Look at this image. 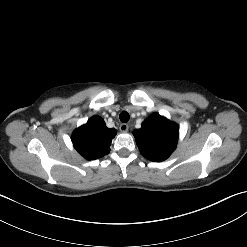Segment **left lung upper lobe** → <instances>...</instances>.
<instances>
[{
    "instance_id": "5c2ea615",
    "label": "left lung upper lobe",
    "mask_w": 247,
    "mask_h": 247,
    "mask_svg": "<svg viewBox=\"0 0 247 247\" xmlns=\"http://www.w3.org/2000/svg\"><path fill=\"white\" fill-rule=\"evenodd\" d=\"M133 135L141 154L151 161L160 162L176 149L179 128L165 117L153 113L140 129L134 130Z\"/></svg>"
}]
</instances>
